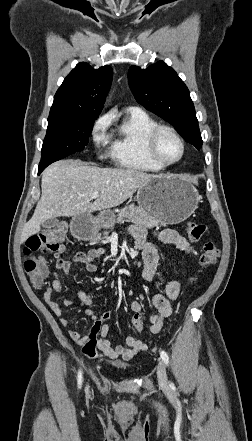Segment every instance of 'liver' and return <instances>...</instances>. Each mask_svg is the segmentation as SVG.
<instances>
[{
	"label": "liver",
	"mask_w": 252,
	"mask_h": 441,
	"mask_svg": "<svg viewBox=\"0 0 252 441\" xmlns=\"http://www.w3.org/2000/svg\"><path fill=\"white\" fill-rule=\"evenodd\" d=\"M155 176L133 169L89 166L71 159L55 162L43 171L41 199L24 225L20 242L37 234L46 220L119 206ZM94 192H99V197L92 202Z\"/></svg>",
	"instance_id": "1"
}]
</instances>
